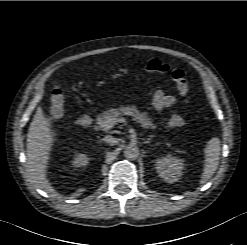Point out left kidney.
Returning <instances> with one entry per match:
<instances>
[{
    "label": "left kidney",
    "instance_id": "left-kidney-1",
    "mask_svg": "<svg viewBox=\"0 0 247 245\" xmlns=\"http://www.w3.org/2000/svg\"><path fill=\"white\" fill-rule=\"evenodd\" d=\"M184 163L181 159L168 154L157 159L156 170L159 176L168 183L179 181L183 174Z\"/></svg>",
    "mask_w": 247,
    "mask_h": 245
}]
</instances>
